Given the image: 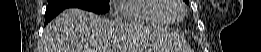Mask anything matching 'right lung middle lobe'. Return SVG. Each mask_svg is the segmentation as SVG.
<instances>
[{"label": "right lung middle lobe", "mask_w": 261, "mask_h": 52, "mask_svg": "<svg viewBox=\"0 0 261 52\" xmlns=\"http://www.w3.org/2000/svg\"><path fill=\"white\" fill-rule=\"evenodd\" d=\"M82 8L97 14L109 11V0H48V6Z\"/></svg>", "instance_id": "obj_1"}]
</instances>
